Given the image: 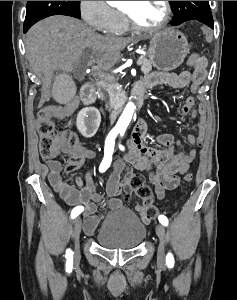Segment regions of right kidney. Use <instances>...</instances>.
I'll return each instance as SVG.
<instances>
[{
  "label": "right kidney",
  "mask_w": 237,
  "mask_h": 300,
  "mask_svg": "<svg viewBox=\"0 0 237 300\" xmlns=\"http://www.w3.org/2000/svg\"><path fill=\"white\" fill-rule=\"evenodd\" d=\"M101 123V115L95 107H85L77 115V129L83 137L91 139L96 135Z\"/></svg>",
  "instance_id": "ca27d5eb"
}]
</instances>
